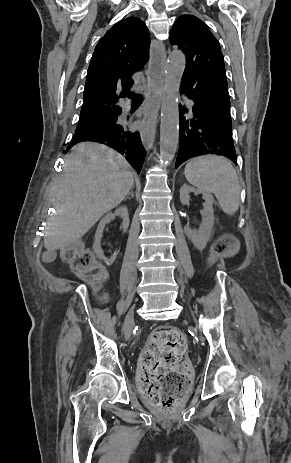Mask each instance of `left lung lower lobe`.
I'll use <instances>...</instances> for the list:
<instances>
[{"mask_svg":"<svg viewBox=\"0 0 291 463\" xmlns=\"http://www.w3.org/2000/svg\"><path fill=\"white\" fill-rule=\"evenodd\" d=\"M187 96L194 102L193 118L179 119V150L175 167L190 158L207 154L225 156L237 165L231 119L211 112L193 97ZM182 107L179 105V108ZM186 112L188 109L183 108L181 116Z\"/></svg>","mask_w":291,"mask_h":463,"instance_id":"1","label":"left lung lower lobe"}]
</instances>
